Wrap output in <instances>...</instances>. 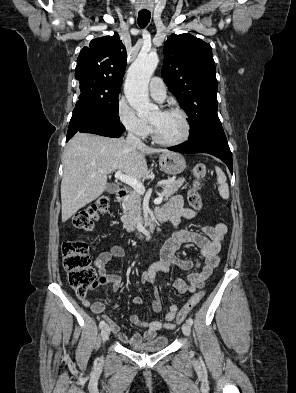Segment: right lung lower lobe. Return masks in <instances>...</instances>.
Masks as SVG:
<instances>
[{
    "mask_svg": "<svg viewBox=\"0 0 296 393\" xmlns=\"http://www.w3.org/2000/svg\"><path fill=\"white\" fill-rule=\"evenodd\" d=\"M124 130L125 128L119 120L109 117L91 106L76 103L69 123L66 141L77 132L118 138Z\"/></svg>",
    "mask_w": 296,
    "mask_h": 393,
    "instance_id": "right-lung-lower-lobe-1",
    "label": "right lung lower lobe"
}]
</instances>
